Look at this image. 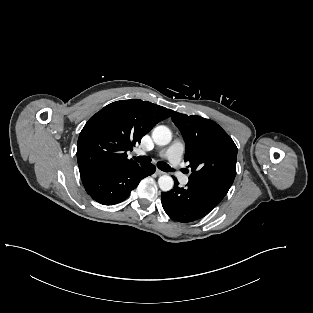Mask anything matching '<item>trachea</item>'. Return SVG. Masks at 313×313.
<instances>
[{"mask_svg": "<svg viewBox=\"0 0 313 313\" xmlns=\"http://www.w3.org/2000/svg\"><path fill=\"white\" fill-rule=\"evenodd\" d=\"M134 159L137 162L142 163V164H147V163L151 162V158L148 157V156H138V157H134ZM157 167L160 170L165 171V172L172 171L171 167L167 163H165V162H158L157 163Z\"/></svg>", "mask_w": 313, "mask_h": 313, "instance_id": "3493384b", "label": "trachea"}]
</instances>
